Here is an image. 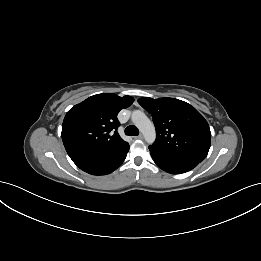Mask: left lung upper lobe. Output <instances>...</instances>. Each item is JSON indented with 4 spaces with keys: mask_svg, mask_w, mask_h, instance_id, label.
<instances>
[{
    "mask_svg": "<svg viewBox=\"0 0 261 261\" xmlns=\"http://www.w3.org/2000/svg\"><path fill=\"white\" fill-rule=\"evenodd\" d=\"M138 103L153 117L157 135L152 147L198 162L205 159L211 132L205 118L193 106L168 97H144Z\"/></svg>",
    "mask_w": 261,
    "mask_h": 261,
    "instance_id": "5c2ea615",
    "label": "left lung upper lobe"
}]
</instances>
